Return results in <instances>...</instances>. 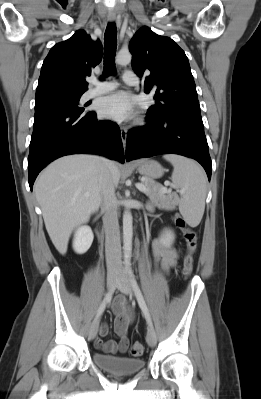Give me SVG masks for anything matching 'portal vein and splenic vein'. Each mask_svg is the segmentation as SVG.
<instances>
[{
	"label": "portal vein and splenic vein",
	"mask_w": 261,
	"mask_h": 399,
	"mask_svg": "<svg viewBox=\"0 0 261 399\" xmlns=\"http://www.w3.org/2000/svg\"><path fill=\"white\" fill-rule=\"evenodd\" d=\"M136 187H137L138 190H140V191H142V192H144V193L147 192V188H146V186H145L143 183H137V184H136ZM163 191H164V192H167V188H166V187H163Z\"/></svg>",
	"instance_id": "obj_1"
}]
</instances>
